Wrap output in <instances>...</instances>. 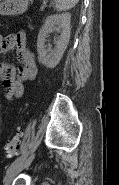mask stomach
<instances>
[{
  "mask_svg": "<svg viewBox=\"0 0 119 185\" xmlns=\"http://www.w3.org/2000/svg\"><path fill=\"white\" fill-rule=\"evenodd\" d=\"M31 0H3L0 2V15H18L25 12Z\"/></svg>",
  "mask_w": 119,
  "mask_h": 185,
  "instance_id": "obj_1",
  "label": "stomach"
}]
</instances>
